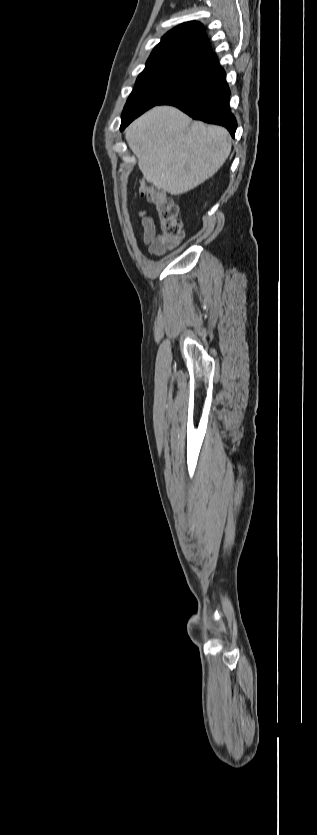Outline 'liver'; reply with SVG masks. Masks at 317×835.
Segmentation results:
<instances>
[{
	"label": "liver",
	"mask_w": 317,
	"mask_h": 835,
	"mask_svg": "<svg viewBox=\"0 0 317 835\" xmlns=\"http://www.w3.org/2000/svg\"><path fill=\"white\" fill-rule=\"evenodd\" d=\"M125 137L147 182L171 195L212 177L231 152L225 128L192 122L171 106H157L140 116Z\"/></svg>",
	"instance_id": "1"
}]
</instances>
